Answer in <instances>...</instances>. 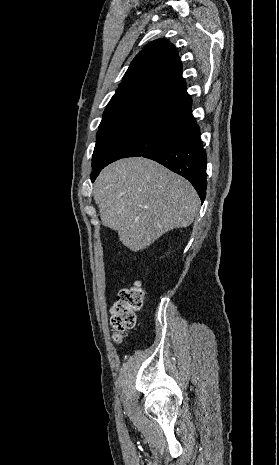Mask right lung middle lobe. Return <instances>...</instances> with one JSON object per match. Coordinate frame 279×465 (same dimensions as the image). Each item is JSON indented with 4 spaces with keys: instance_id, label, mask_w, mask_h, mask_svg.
Here are the masks:
<instances>
[{
    "instance_id": "dd1d6c3e",
    "label": "right lung middle lobe",
    "mask_w": 279,
    "mask_h": 465,
    "mask_svg": "<svg viewBox=\"0 0 279 465\" xmlns=\"http://www.w3.org/2000/svg\"><path fill=\"white\" fill-rule=\"evenodd\" d=\"M180 125L134 121L99 127L92 167L98 169L124 157L143 156L167 143Z\"/></svg>"
}]
</instances>
